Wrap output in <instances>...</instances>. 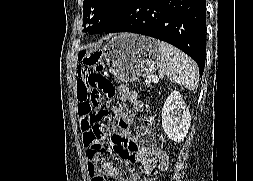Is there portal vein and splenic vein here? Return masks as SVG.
<instances>
[{"label":"portal vein and splenic vein","mask_w":253,"mask_h":181,"mask_svg":"<svg viewBox=\"0 0 253 181\" xmlns=\"http://www.w3.org/2000/svg\"><path fill=\"white\" fill-rule=\"evenodd\" d=\"M149 82H154V83H158L159 82V78L155 75L149 77Z\"/></svg>","instance_id":"obj_1"}]
</instances>
